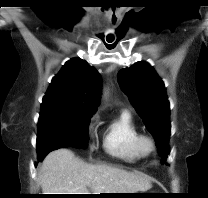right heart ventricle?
<instances>
[{
  "mask_svg": "<svg viewBox=\"0 0 208 198\" xmlns=\"http://www.w3.org/2000/svg\"><path fill=\"white\" fill-rule=\"evenodd\" d=\"M140 132L127 111H122L110 124L103 135L105 151L112 157L126 162H135L141 158L136 148Z\"/></svg>",
  "mask_w": 208,
  "mask_h": 198,
  "instance_id": "1",
  "label": "right heart ventricle"
}]
</instances>
